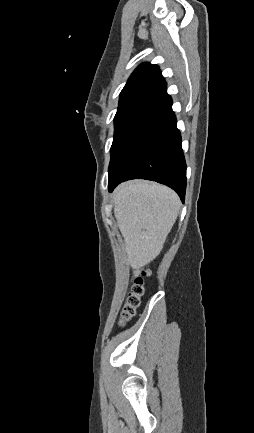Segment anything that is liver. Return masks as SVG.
<instances>
[{
    "mask_svg": "<svg viewBox=\"0 0 254 433\" xmlns=\"http://www.w3.org/2000/svg\"><path fill=\"white\" fill-rule=\"evenodd\" d=\"M179 209L177 194L164 185L131 181L116 188L114 214L131 267L139 269L158 256Z\"/></svg>",
    "mask_w": 254,
    "mask_h": 433,
    "instance_id": "liver-1",
    "label": "liver"
}]
</instances>
